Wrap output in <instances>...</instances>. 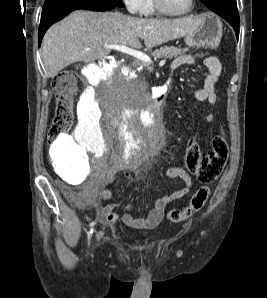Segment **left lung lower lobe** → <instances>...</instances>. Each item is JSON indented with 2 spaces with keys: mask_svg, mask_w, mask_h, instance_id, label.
Returning a JSON list of instances; mask_svg holds the SVG:
<instances>
[{
  "mask_svg": "<svg viewBox=\"0 0 267 298\" xmlns=\"http://www.w3.org/2000/svg\"><path fill=\"white\" fill-rule=\"evenodd\" d=\"M223 17L236 31L237 38L239 37V15L237 10H230L225 14H218Z\"/></svg>",
  "mask_w": 267,
  "mask_h": 298,
  "instance_id": "0a47b994",
  "label": "left lung lower lobe"
}]
</instances>
